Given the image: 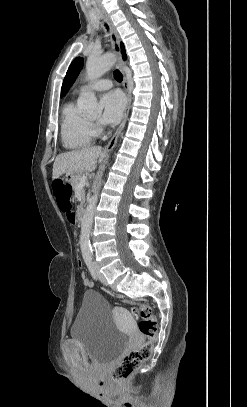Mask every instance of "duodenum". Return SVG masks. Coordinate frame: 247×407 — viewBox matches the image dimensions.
I'll return each instance as SVG.
<instances>
[{
	"label": "duodenum",
	"instance_id": "410a0bca",
	"mask_svg": "<svg viewBox=\"0 0 247 407\" xmlns=\"http://www.w3.org/2000/svg\"><path fill=\"white\" fill-rule=\"evenodd\" d=\"M84 214H85V209H84V207H81L78 210V214H77V220H78L79 223L82 222V220L84 218Z\"/></svg>",
	"mask_w": 247,
	"mask_h": 407
}]
</instances>
